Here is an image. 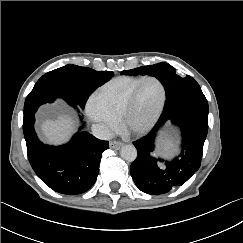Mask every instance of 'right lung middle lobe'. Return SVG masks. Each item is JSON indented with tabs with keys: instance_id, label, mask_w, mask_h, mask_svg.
Masks as SVG:
<instances>
[{
	"instance_id": "obj_1",
	"label": "right lung middle lobe",
	"mask_w": 243,
	"mask_h": 243,
	"mask_svg": "<svg viewBox=\"0 0 243 243\" xmlns=\"http://www.w3.org/2000/svg\"><path fill=\"white\" fill-rule=\"evenodd\" d=\"M112 76L111 71H95L69 64L43 75L32 91L54 92L84 108L91 93Z\"/></svg>"
}]
</instances>
